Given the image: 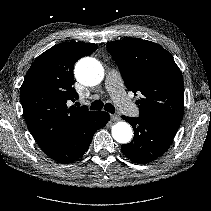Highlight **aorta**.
<instances>
[{
	"label": "aorta",
	"mask_w": 211,
	"mask_h": 211,
	"mask_svg": "<svg viewBox=\"0 0 211 211\" xmlns=\"http://www.w3.org/2000/svg\"><path fill=\"white\" fill-rule=\"evenodd\" d=\"M76 79L85 86L99 84L104 77V69L99 61L86 57L78 61L75 66ZM132 128L126 122H118L112 127L113 138L122 144L128 143L132 138Z\"/></svg>",
	"instance_id": "762f6f07"
}]
</instances>
